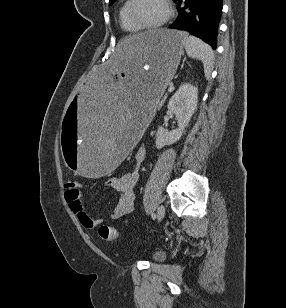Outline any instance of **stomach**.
<instances>
[{"mask_svg": "<svg viewBox=\"0 0 286 308\" xmlns=\"http://www.w3.org/2000/svg\"><path fill=\"white\" fill-rule=\"evenodd\" d=\"M186 39L184 32L166 29L123 36L105 65L92 69L61 121V153L69 173L111 177L122 168L144 125L151 123Z\"/></svg>", "mask_w": 286, "mask_h": 308, "instance_id": "stomach-1", "label": "stomach"}]
</instances>
